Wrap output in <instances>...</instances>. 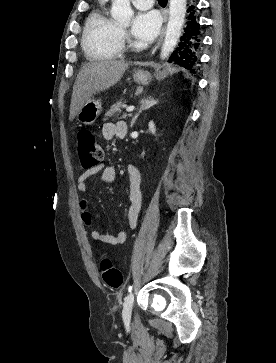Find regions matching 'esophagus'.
Wrapping results in <instances>:
<instances>
[{
	"label": "esophagus",
	"instance_id": "esophagus-1",
	"mask_svg": "<svg viewBox=\"0 0 276 363\" xmlns=\"http://www.w3.org/2000/svg\"><path fill=\"white\" fill-rule=\"evenodd\" d=\"M165 20H166V16H165ZM163 34H164V28L162 29V32H161V35H160V38H159L157 44L151 50V54H154L158 50V48L162 42V39H163Z\"/></svg>",
	"mask_w": 276,
	"mask_h": 363
}]
</instances>
